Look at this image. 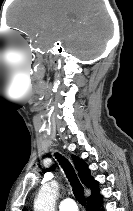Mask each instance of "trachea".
<instances>
[{"label": "trachea", "mask_w": 133, "mask_h": 211, "mask_svg": "<svg viewBox=\"0 0 133 211\" xmlns=\"http://www.w3.org/2000/svg\"><path fill=\"white\" fill-rule=\"evenodd\" d=\"M55 156L58 159V161L60 162V165L62 166V168H63V170L73 188L74 196L76 197L78 202L84 206L86 204L84 190H83L82 185L79 182V179L75 173L74 168L72 167L70 162H68V160L66 158H64L63 156H61L60 154L56 153Z\"/></svg>", "instance_id": "3493384b"}]
</instances>
